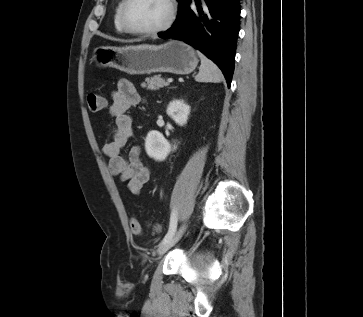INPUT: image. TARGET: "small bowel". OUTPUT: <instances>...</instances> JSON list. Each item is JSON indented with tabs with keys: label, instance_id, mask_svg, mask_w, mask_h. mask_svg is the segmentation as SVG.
Listing matches in <instances>:
<instances>
[{
	"label": "small bowel",
	"instance_id": "c3829d8e",
	"mask_svg": "<svg viewBox=\"0 0 363 317\" xmlns=\"http://www.w3.org/2000/svg\"><path fill=\"white\" fill-rule=\"evenodd\" d=\"M141 102L140 94L130 81L122 79L118 82L117 89L112 93L110 106L114 117V123L109 128L111 140L103 147L109 158L110 172L121 182H127L129 190L134 194L143 190L150 178V169L141 159V147L133 146L127 158L121 152L128 140L134 136L133 120L127 111Z\"/></svg>",
	"mask_w": 363,
	"mask_h": 317
}]
</instances>
